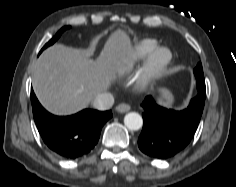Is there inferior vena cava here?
Returning a JSON list of instances; mask_svg holds the SVG:
<instances>
[{
  "label": "inferior vena cava",
  "mask_w": 236,
  "mask_h": 187,
  "mask_svg": "<svg viewBox=\"0 0 236 187\" xmlns=\"http://www.w3.org/2000/svg\"><path fill=\"white\" fill-rule=\"evenodd\" d=\"M114 104V97L108 92L98 94L95 99L92 101V105L95 109L98 110H108Z\"/></svg>",
  "instance_id": "1"
}]
</instances>
